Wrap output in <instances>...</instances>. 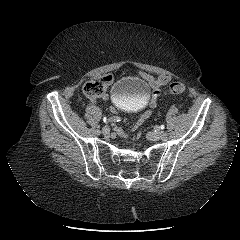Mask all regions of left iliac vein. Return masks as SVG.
<instances>
[{"instance_id":"left-iliac-vein-1","label":"left iliac vein","mask_w":240,"mask_h":240,"mask_svg":"<svg viewBox=\"0 0 240 240\" xmlns=\"http://www.w3.org/2000/svg\"><path fill=\"white\" fill-rule=\"evenodd\" d=\"M166 138H167V134L166 136L163 137L161 136L160 132L150 134V139L153 141L165 140Z\"/></svg>"}]
</instances>
